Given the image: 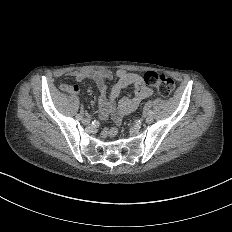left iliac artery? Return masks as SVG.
Instances as JSON below:
<instances>
[{
    "mask_svg": "<svg viewBox=\"0 0 232 232\" xmlns=\"http://www.w3.org/2000/svg\"><path fill=\"white\" fill-rule=\"evenodd\" d=\"M149 116H150V117H153V113H152V112H150V113H149Z\"/></svg>",
    "mask_w": 232,
    "mask_h": 232,
    "instance_id": "44dca946",
    "label": "left iliac artery"
}]
</instances>
